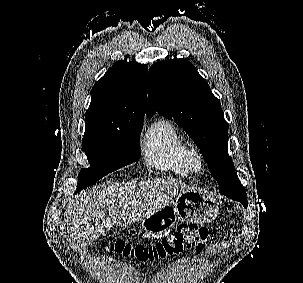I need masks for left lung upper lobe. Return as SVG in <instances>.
Returning <instances> with one entry per match:
<instances>
[{
    "mask_svg": "<svg viewBox=\"0 0 303 283\" xmlns=\"http://www.w3.org/2000/svg\"><path fill=\"white\" fill-rule=\"evenodd\" d=\"M156 111L174 120L194 140L220 193L246 196L227 152L228 124L220 101L189 61L168 59L150 67L148 117Z\"/></svg>",
    "mask_w": 303,
    "mask_h": 283,
    "instance_id": "left-lung-upper-lobe-1",
    "label": "left lung upper lobe"
}]
</instances>
